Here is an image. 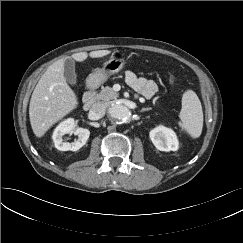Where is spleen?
<instances>
[{
	"label": "spleen",
	"mask_w": 243,
	"mask_h": 243,
	"mask_svg": "<svg viewBox=\"0 0 243 243\" xmlns=\"http://www.w3.org/2000/svg\"><path fill=\"white\" fill-rule=\"evenodd\" d=\"M179 127L192 138L200 137L203 128V111L197 94L187 90L182 96V109L180 112Z\"/></svg>",
	"instance_id": "obj_1"
}]
</instances>
